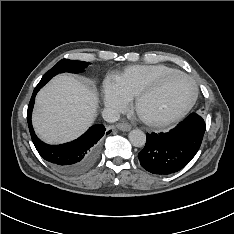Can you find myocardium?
Returning <instances> with one entry per match:
<instances>
[{
    "mask_svg": "<svg viewBox=\"0 0 234 234\" xmlns=\"http://www.w3.org/2000/svg\"><path fill=\"white\" fill-rule=\"evenodd\" d=\"M175 76L184 77L185 79L189 80L193 86V95L190 101L187 103L185 107L181 110L168 115H161V116H148L144 114L142 111V106L144 101L157 92L169 79ZM198 98V87L195 80L189 76L188 74L181 72V71H174L168 74L163 75L159 79H157L152 85L141 91L135 100V110L138 117L147 125L150 126H164L170 123L176 122L182 119L195 105Z\"/></svg>",
    "mask_w": 234,
    "mask_h": 234,
    "instance_id": "myocardium-1",
    "label": "myocardium"
}]
</instances>
